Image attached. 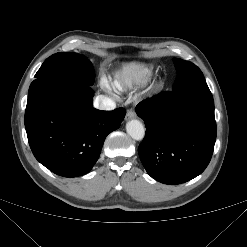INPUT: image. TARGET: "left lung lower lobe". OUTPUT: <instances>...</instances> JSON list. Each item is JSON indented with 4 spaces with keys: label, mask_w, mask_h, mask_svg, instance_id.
Instances as JSON below:
<instances>
[{
    "label": "left lung lower lobe",
    "mask_w": 247,
    "mask_h": 247,
    "mask_svg": "<svg viewBox=\"0 0 247 247\" xmlns=\"http://www.w3.org/2000/svg\"><path fill=\"white\" fill-rule=\"evenodd\" d=\"M136 113L147 128L138 153L152 178L177 185L205 170L216 140L208 87L160 93L140 102Z\"/></svg>",
    "instance_id": "1"
}]
</instances>
